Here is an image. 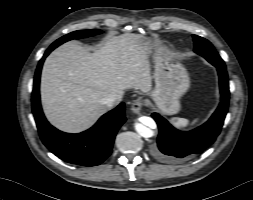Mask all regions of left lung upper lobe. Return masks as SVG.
Instances as JSON below:
<instances>
[{"mask_svg":"<svg viewBox=\"0 0 253 200\" xmlns=\"http://www.w3.org/2000/svg\"><path fill=\"white\" fill-rule=\"evenodd\" d=\"M193 40L195 46L194 51L197 54L203 56L213 65H221L222 67H225L223 60L208 40L197 35H193Z\"/></svg>","mask_w":253,"mask_h":200,"instance_id":"obj_1","label":"left lung upper lobe"}]
</instances>
